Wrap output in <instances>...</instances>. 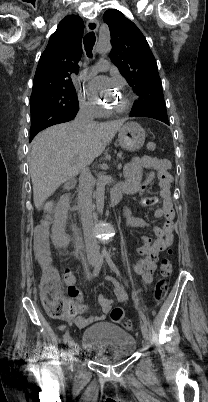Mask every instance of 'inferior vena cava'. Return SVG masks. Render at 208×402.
Listing matches in <instances>:
<instances>
[{
  "instance_id": "inferior-vena-cava-1",
  "label": "inferior vena cava",
  "mask_w": 208,
  "mask_h": 402,
  "mask_svg": "<svg viewBox=\"0 0 208 402\" xmlns=\"http://www.w3.org/2000/svg\"><path fill=\"white\" fill-rule=\"evenodd\" d=\"M94 104H81L80 110L72 122L73 126L85 128L93 124ZM81 174L79 176L78 206L81 214L82 226L86 246H97V240L93 232L92 216V192L95 186L93 176L87 168V162L80 164Z\"/></svg>"
}]
</instances>
